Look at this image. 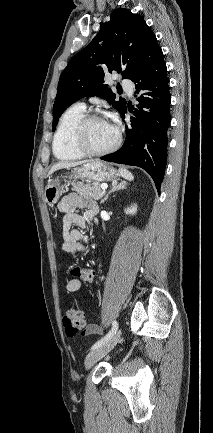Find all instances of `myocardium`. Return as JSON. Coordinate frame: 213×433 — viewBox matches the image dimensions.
<instances>
[{"instance_id":"obj_1","label":"myocardium","mask_w":213,"mask_h":433,"mask_svg":"<svg viewBox=\"0 0 213 433\" xmlns=\"http://www.w3.org/2000/svg\"><path fill=\"white\" fill-rule=\"evenodd\" d=\"M94 120H106L103 115L100 113H87L84 114L81 119L78 121L74 133H73V142L76 149L81 152L84 156H104L116 151L122 142V134L118 127H116L117 138L112 146L105 150H93L91 149L86 142V128L91 121Z\"/></svg>"}]
</instances>
